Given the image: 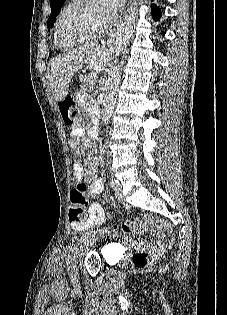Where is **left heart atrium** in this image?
<instances>
[{
	"instance_id": "left-heart-atrium-1",
	"label": "left heart atrium",
	"mask_w": 227,
	"mask_h": 315,
	"mask_svg": "<svg viewBox=\"0 0 227 315\" xmlns=\"http://www.w3.org/2000/svg\"><path fill=\"white\" fill-rule=\"evenodd\" d=\"M105 23L109 25L121 10L124 0H97Z\"/></svg>"
}]
</instances>
